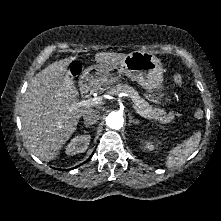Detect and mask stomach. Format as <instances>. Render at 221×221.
<instances>
[{
    "mask_svg": "<svg viewBox=\"0 0 221 221\" xmlns=\"http://www.w3.org/2000/svg\"><path fill=\"white\" fill-rule=\"evenodd\" d=\"M122 73L147 90L145 97L149 101L160 103V98L153 92L163 88V68L160 59L149 52L134 51L127 54L118 66H92L81 74L80 86L93 85V82L100 78L106 79L100 84H111L118 81Z\"/></svg>",
    "mask_w": 221,
    "mask_h": 221,
    "instance_id": "obj_1",
    "label": "stomach"
}]
</instances>
